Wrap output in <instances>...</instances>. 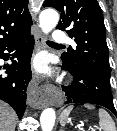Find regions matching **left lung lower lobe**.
Masks as SVG:
<instances>
[{
	"label": "left lung lower lobe",
	"instance_id": "left-lung-lower-lobe-1",
	"mask_svg": "<svg viewBox=\"0 0 117 131\" xmlns=\"http://www.w3.org/2000/svg\"><path fill=\"white\" fill-rule=\"evenodd\" d=\"M63 69L69 71L75 78L70 86H63L66 96L65 104L85 102L101 105L117 117L110 86L95 80L80 67L63 62Z\"/></svg>",
	"mask_w": 117,
	"mask_h": 131
}]
</instances>
